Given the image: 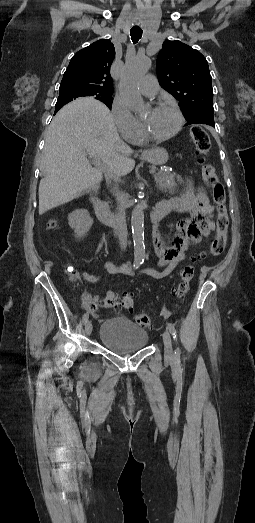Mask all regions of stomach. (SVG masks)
Listing matches in <instances>:
<instances>
[{
    "label": "stomach",
    "instance_id": "0dacf381",
    "mask_svg": "<svg viewBox=\"0 0 255 523\" xmlns=\"http://www.w3.org/2000/svg\"><path fill=\"white\" fill-rule=\"evenodd\" d=\"M142 158L149 164H153V166H162V164H166L168 154L163 148H152L148 152H143Z\"/></svg>",
    "mask_w": 255,
    "mask_h": 523
}]
</instances>
